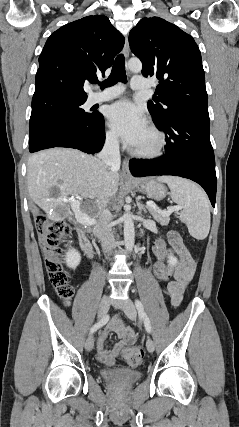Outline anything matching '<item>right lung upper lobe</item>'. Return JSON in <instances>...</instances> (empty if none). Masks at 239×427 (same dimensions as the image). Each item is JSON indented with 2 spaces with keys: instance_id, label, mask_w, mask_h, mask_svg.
Segmentation results:
<instances>
[{
  "instance_id": "obj_1",
  "label": "right lung upper lobe",
  "mask_w": 239,
  "mask_h": 427,
  "mask_svg": "<svg viewBox=\"0 0 239 427\" xmlns=\"http://www.w3.org/2000/svg\"><path fill=\"white\" fill-rule=\"evenodd\" d=\"M124 37L103 15L87 16L52 33L39 57L34 98L87 99L84 84L109 68Z\"/></svg>"
}]
</instances>
